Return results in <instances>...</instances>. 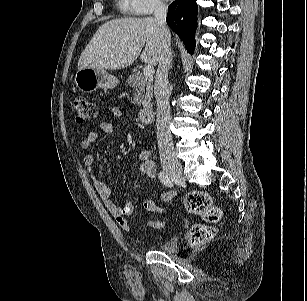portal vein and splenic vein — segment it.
Returning <instances> with one entry per match:
<instances>
[{
  "label": "portal vein and splenic vein",
  "instance_id": "obj_1",
  "mask_svg": "<svg viewBox=\"0 0 307 301\" xmlns=\"http://www.w3.org/2000/svg\"><path fill=\"white\" fill-rule=\"evenodd\" d=\"M143 74L146 76V77H152L153 74H154V68L152 65H146L143 69Z\"/></svg>",
  "mask_w": 307,
  "mask_h": 301
}]
</instances>
